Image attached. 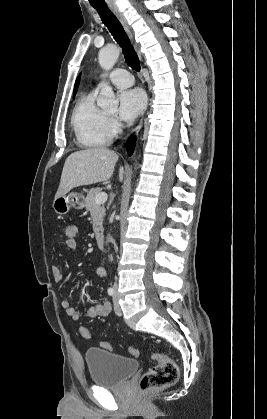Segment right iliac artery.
<instances>
[{"instance_id":"obj_1","label":"right iliac artery","mask_w":267,"mask_h":419,"mask_svg":"<svg viewBox=\"0 0 267 419\" xmlns=\"http://www.w3.org/2000/svg\"><path fill=\"white\" fill-rule=\"evenodd\" d=\"M108 294H109L110 296H113V295L115 294V290H114V288H109V289H108Z\"/></svg>"}]
</instances>
